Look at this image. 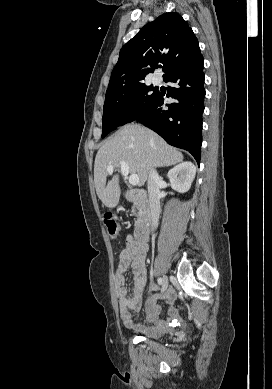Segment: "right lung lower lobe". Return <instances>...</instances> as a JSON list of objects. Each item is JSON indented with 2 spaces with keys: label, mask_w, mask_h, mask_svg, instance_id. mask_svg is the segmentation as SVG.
<instances>
[{
  "label": "right lung lower lobe",
  "mask_w": 272,
  "mask_h": 389,
  "mask_svg": "<svg viewBox=\"0 0 272 389\" xmlns=\"http://www.w3.org/2000/svg\"><path fill=\"white\" fill-rule=\"evenodd\" d=\"M203 63L201 55L164 78L175 84L166 97H172L176 102L166 104L168 109H164L166 97L159 93L157 99L133 120L154 130L170 145L189 151L198 164L205 97Z\"/></svg>",
  "instance_id": "98d812e1"
}]
</instances>
